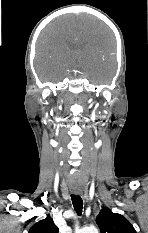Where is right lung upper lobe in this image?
Here are the masks:
<instances>
[{"instance_id":"right-lung-upper-lobe-1","label":"right lung upper lobe","mask_w":148,"mask_h":233,"mask_svg":"<svg viewBox=\"0 0 148 233\" xmlns=\"http://www.w3.org/2000/svg\"><path fill=\"white\" fill-rule=\"evenodd\" d=\"M29 233H58V227L54 224L52 218L48 216L32 226Z\"/></svg>"}]
</instances>
